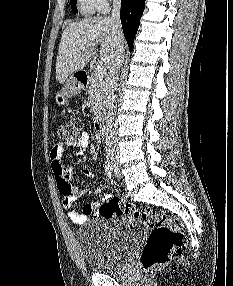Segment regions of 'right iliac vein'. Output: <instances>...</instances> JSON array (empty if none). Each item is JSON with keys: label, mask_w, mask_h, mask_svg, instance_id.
<instances>
[{"label": "right iliac vein", "mask_w": 233, "mask_h": 286, "mask_svg": "<svg viewBox=\"0 0 233 286\" xmlns=\"http://www.w3.org/2000/svg\"><path fill=\"white\" fill-rule=\"evenodd\" d=\"M111 165H112V168H114V171L118 172V167L116 166V163L113 162Z\"/></svg>", "instance_id": "63e3f726"}]
</instances>
